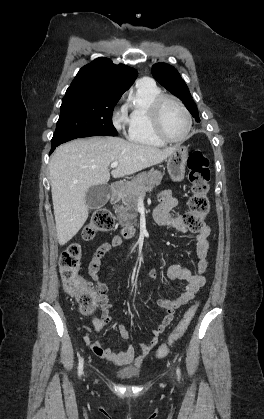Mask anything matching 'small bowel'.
Masks as SVG:
<instances>
[{"mask_svg":"<svg viewBox=\"0 0 264 419\" xmlns=\"http://www.w3.org/2000/svg\"><path fill=\"white\" fill-rule=\"evenodd\" d=\"M177 203L176 197L173 196L170 190L162 191L160 194V203L154 210V219L159 225L171 227L181 232H187L188 228L183 223L182 218L171 213V210ZM209 236L210 228L206 225H204L196 235L195 243L198 262L194 271H191L180 264H174L167 269V277L180 282V293L175 299H160L157 301L158 306L165 311V315L159 324L152 330L150 340L137 347L130 345L125 350L115 352L110 348L103 346L98 341H92L91 335L86 334L84 336V341L89 345L95 355L118 366L130 364L139 366L142 364L144 359L158 344L160 335L172 322L176 309L190 302L199 288L204 285V275L209 268V255L211 252ZM122 242V237L114 236L109 242L100 245L88 266V273L92 281L96 284V293L102 306L101 317L93 319L94 332L102 331L105 326L112 322L109 312L112 307L108 295L109 289L100 281L99 277L101 260L110 250L121 246ZM149 277L151 279H157V272L152 270L149 273ZM117 328L123 338H129V332L124 325L119 324L117 325Z\"/></svg>","mask_w":264,"mask_h":419,"instance_id":"obj_1","label":"small bowel"}]
</instances>
